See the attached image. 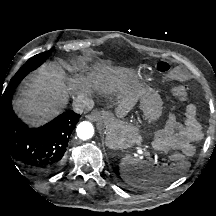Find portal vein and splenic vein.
<instances>
[{
    "mask_svg": "<svg viewBox=\"0 0 216 216\" xmlns=\"http://www.w3.org/2000/svg\"><path fill=\"white\" fill-rule=\"evenodd\" d=\"M137 152L145 156H150L149 152L144 151L142 148L137 147Z\"/></svg>",
    "mask_w": 216,
    "mask_h": 216,
    "instance_id": "1",
    "label": "portal vein and splenic vein"
}]
</instances>
